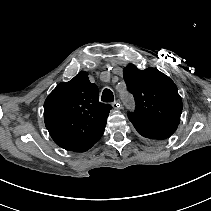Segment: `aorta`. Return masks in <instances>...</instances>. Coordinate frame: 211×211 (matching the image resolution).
<instances>
[{"instance_id": "aorta-1", "label": "aorta", "mask_w": 211, "mask_h": 211, "mask_svg": "<svg viewBox=\"0 0 211 211\" xmlns=\"http://www.w3.org/2000/svg\"><path fill=\"white\" fill-rule=\"evenodd\" d=\"M123 98H124V99H126V93H125V94H123Z\"/></svg>"}]
</instances>
